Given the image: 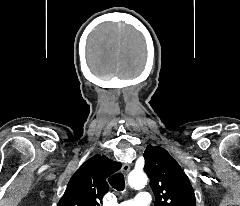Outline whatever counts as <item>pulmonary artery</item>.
Wrapping results in <instances>:
<instances>
[{
	"label": "pulmonary artery",
	"mask_w": 240,
	"mask_h": 206,
	"mask_svg": "<svg viewBox=\"0 0 240 206\" xmlns=\"http://www.w3.org/2000/svg\"><path fill=\"white\" fill-rule=\"evenodd\" d=\"M150 194L145 191L139 192L134 199L126 200L118 204V206H149Z\"/></svg>",
	"instance_id": "pulmonary-artery-1"
}]
</instances>
